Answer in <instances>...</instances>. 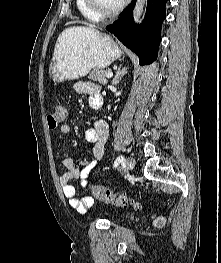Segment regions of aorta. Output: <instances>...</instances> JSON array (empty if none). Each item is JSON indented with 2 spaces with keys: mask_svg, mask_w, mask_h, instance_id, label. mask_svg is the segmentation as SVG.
Instances as JSON below:
<instances>
[{
  "mask_svg": "<svg viewBox=\"0 0 221 263\" xmlns=\"http://www.w3.org/2000/svg\"><path fill=\"white\" fill-rule=\"evenodd\" d=\"M145 3H146V0H137L136 6L134 9V13H133L135 20H138L141 17Z\"/></svg>",
  "mask_w": 221,
  "mask_h": 263,
  "instance_id": "aorta-1",
  "label": "aorta"
}]
</instances>
